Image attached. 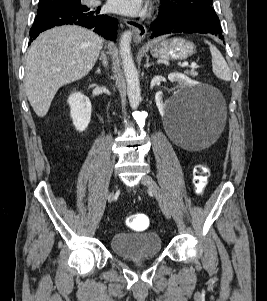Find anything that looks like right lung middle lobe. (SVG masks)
Wrapping results in <instances>:
<instances>
[{
	"mask_svg": "<svg viewBox=\"0 0 267 301\" xmlns=\"http://www.w3.org/2000/svg\"><path fill=\"white\" fill-rule=\"evenodd\" d=\"M81 0H40L37 14L61 8L66 5L80 4Z\"/></svg>",
	"mask_w": 267,
	"mask_h": 301,
	"instance_id": "obj_1",
	"label": "right lung middle lobe"
}]
</instances>
